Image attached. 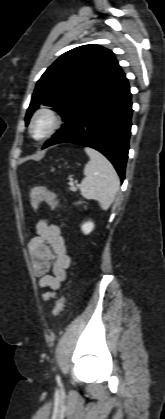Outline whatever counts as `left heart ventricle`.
Wrapping results in <instances>:
<instances>
[{"label": "left heart ventricle", "mask_w": 165, "mask_h": 419, "mask_svg": "<svg viewBox=\"0 0 165 419\" xmlns=\"http://www.w3.org/2000/svg\"><path fill=\"white\" fill-rule=\"evenodd\" d=\"M48 126V121L45 118L39 119L34 125V132L39 135L43 133Z\"/></svg>", "instance_id": "b2bd125f"}]
</instances>
